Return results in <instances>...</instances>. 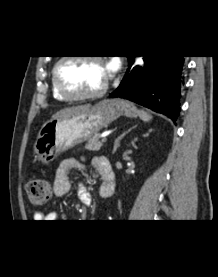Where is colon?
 Returning a JSON list of instances; mask_svg holds the SVG:
<instances>
[{
	"label": "colon",
	"mask_w": 218,
	"mask_h": 277,
	"mask_svg": "<svg viewBox=\"0 0 218 277\" xmlns=\"http://www.w3.org/2000/svg\"><path fill=\"white\" fill-rule=\"evenodd\" d=\"M26 192L30 204L44 206L52 195V186L47 180L31 178L26 184Z\"/></svg>",
	"instance_id": "obj_1"
}]
</instances>
